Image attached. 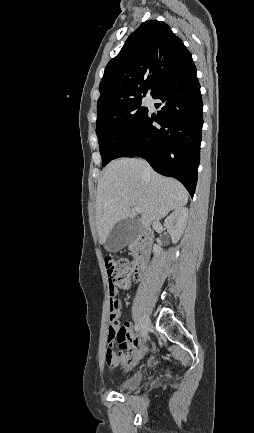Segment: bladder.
<instances>
[{
    "label": "bladder",
    "mask_w": 254,
    "mask_h": 433,
    "mask_svg": "<svg viewBox=\"0 0 254 433\" xmlns=\"http://www.w3.org/2000/svg\"><path fill=\"white\" fill-rule=\"evenodd\" d=\"M141 379V375L136 374L119 383L117 387L120 391L135 390L140 385Z\"/></svg>",
    "instance_id": "obj_1"
}]
</instances>
